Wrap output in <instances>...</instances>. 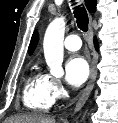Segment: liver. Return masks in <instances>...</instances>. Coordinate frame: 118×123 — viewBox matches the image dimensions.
I'll return each mask as SVG.
<instances>
[{"label":"liver","instance_id":"liver-1","mask_svg":"<svg viewBox=\"0 0 118 123\" xmlns=\"http://www.w3.org/2000/svg\"><path fill=\"white\" fill-rule=\"evenodd\" d=\"M4 123H56V121L54 118L34 113L10 117Z\"/></svg>","mask_w":118,"mask_h":123}]
</instances>
